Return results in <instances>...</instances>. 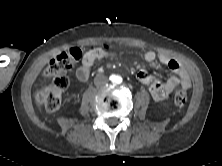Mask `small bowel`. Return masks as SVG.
Returning a JSON list of instances; mask_svg holds the SVG:
<instances>
[{
  "instance_id": "small-bowel-1",
  "label": "small bowel",
  "mask_w": 222,
  "mask_h": 166,
  "mask_svg": "<svg viewBox=\"0 0 222 166\" xmlns=\"http://www.w3.org/2000/svg\"><path fill=\"white\" fill-rule=\"evenodd\" d=\"M116 52H109L104 48L97 47L88 50L82 58L80 66L75 71V76L80 82H87L90 78L91 68L96 60L107 57H116ZM146 62H153L159 60L160 63L165 65L171 70L174 75L167 80H161L152 75L146 70H140L137 73V79L149 86L151 96L156 101H161L168 98L169 94L178 86L190 88L191 79L187 70L182 67L176 60L172 59L166 54H156L154 51H147L144 56Z\"/></svg>"
}]
</instances>
